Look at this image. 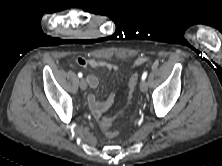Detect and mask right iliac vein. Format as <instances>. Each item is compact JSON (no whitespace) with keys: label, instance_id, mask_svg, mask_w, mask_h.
Wrapping results in <instances>:
<instances>
[{"label":"right iliac vein","instance_id":"obj_1","mask_svg":"<svg viewBox=\"0 0 222 166\" xmlns=\"http://www.w3.org/2000/svg\"><path fill=\"white\" fill-rule=\"evenodd\" d=\"M79 85H80L81 90H86V88H87V82H86V80H85L84 78H82V79L80 80Z\"/></svg>","mask_w":222,"mask_h":166}]
</instances>
